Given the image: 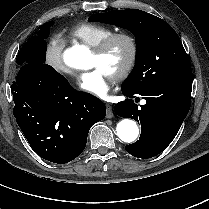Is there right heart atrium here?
Instances as JSON below:
<instances>
[{
  "label": "right heart atrium",
  "mask_w": 209,
  "mask_h": 209,
  "mask_svg": "<svg viewBox=\"0 0 209 209\" xmlns=\"http://www.w3.org/2000/svg\"><path fill=\"white\" fill-rule=\"evenodd\" d=\"M65 42L59 35L51 36L45 43L44 59L47 65L62 75H72L73 71L63 61Z\"/></svg>",
  "instance_id": "obj_1"
}]
</instances>
